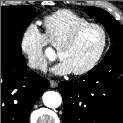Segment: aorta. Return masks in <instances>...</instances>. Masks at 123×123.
I'll return each mask as SVG.
<instances>
[{"label": "aorta", "mask_w": 123, "mask_h": 123, "mask_svg": "<svg viewBox=\"0 0 123 123\" xmlns=\"http://www.w3.org/2000/svg\"><path fill=\"white\" fill-rule=\"evenodd\" d=\"M43 103L48 108H57L61 105L62 98L58 92L47 91L43 94Z\"/></svg>", "instance_id": "aorta-1"}]
</instances>
